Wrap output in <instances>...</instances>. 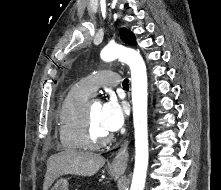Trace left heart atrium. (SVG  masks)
<instances>
[{"mask_svg": "<svg viewBox=\"0 0 221 190\" xmlns=\"http://www.w3.org/2000/svg\"><path fill=\"white\" fill-rule=\"evenodd\" d=\"M100 122L102 128L108 133L115 132L122 127L124 111L122 105L115 98H110L102 105Z\"/></svg>", "mask_w": 221, "mask_h": 190, "instance_id": "1", "label": "left heart atrium"}]
</instances>
